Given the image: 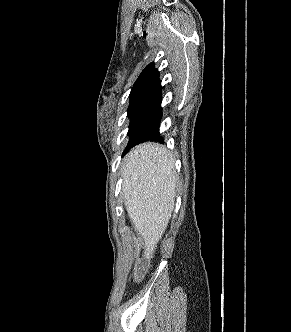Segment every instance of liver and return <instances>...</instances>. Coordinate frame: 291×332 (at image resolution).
<instances>
[{
  "mask_svg": "<svg viewBox=\"0 0 291 332\" xmlns=\"http://www.w3.org/2000/svg\"><path fill=\"white\" fill-rule=\"evenodd\" d=\"M170 152L157 143H143L128 154L122 195L128 216L144 240V257L153 256L174 209L176 172Z\"/></svg>",
  "mask_w": 291,
  "mask_h": 332,
  "instance_id": "liver-1",
  "label": "liver"
}]
</instances>
